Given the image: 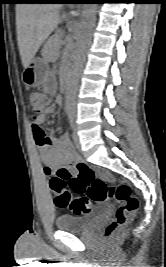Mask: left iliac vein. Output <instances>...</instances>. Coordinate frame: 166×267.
Returning a JSON list of instances; mask_svg holds the SVG:
<instances>
[{
	"label": "left iliac vein",
	"mask_w": 166,
	"mask_h": 267,
	"mask_svg": "<svg viewBox=\"0 0 166 267\" xmlns=\"http://www.w3.org/2000/svg\"><path fill=\"white\" fill-rule=\"evenodd\" d=\"M73 139H74V142H75V145L78 149H80V139H79V136L77 135V132H76V129L74 128L73 130Z\"/></svg>",
	"instance_id": "1"
}]
</instances>
